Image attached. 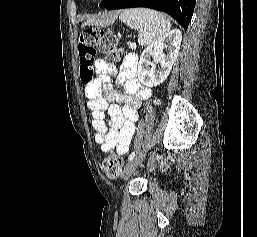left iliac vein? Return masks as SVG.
Wrapping results in <instances>:
<instances>
[{"label":"left iliac vein","mask_w":257,"mask_h":237,"mask_svg":"<svg viewBox=\"0 0 257 237\" xmlns=\"http://www.w3.org/2000/svg\"><path fill=\"white\" fill-rule=\"evenodd\" d=\"M143 157H144L143 154H139L131 161H129V163L124 168V172H123L124 179H127L132 175V173L135 171L138 165L142 162Z\"/></svg>","instance_id":"left-iliac-vein-1"}]
</instances>
